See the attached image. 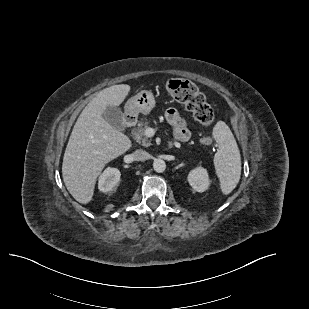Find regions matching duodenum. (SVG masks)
Masks as SVG:
<instances>
[{
    "mask_svg": "<svg viewBox=\"0 0 309 309\" xmlns=\"http://www.w3.org/2000/svg\"><path fill=\"white\" fill-rule=\"evenodd\" d=\"M124 122H125V125L130 128V127H133L136 123V118L134 115L132 114H127L124 118ZM173 143H170V146H172Z\"/></svg>",
    "mask_w": 309,
    "mask_h": 309,
    "instance_id": "1",
    "label": "duodenum"
}]
</instances>
